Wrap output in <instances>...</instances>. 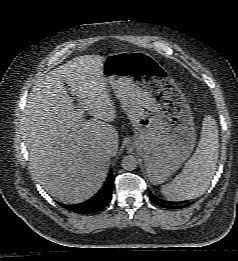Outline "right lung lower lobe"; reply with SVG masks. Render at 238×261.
Returning a JSON list of instances; mask_svg holds the SVG:
<instances>
[{
    "instance_id": "1",
    "label": "right lung lower lobe",
    "mask_w": 238,
    "mask_h": 261,
    "mask_svg": "<svg viewBox=\"0 0 238 261\" xmlns=\"http://www.w3.org/2000/svg\"><path fill=\"white\" fill-rule=\"evenodd\" d=\"M113 187H114V180H113L112 172H110L104 186L92 198L79 204H73V205H65L61 203L58 204L68 209L69 211L78 214L94 213L96 211L103 209L106 205H108V203L112 199Z\"/></svg>"
}]
</instances>
